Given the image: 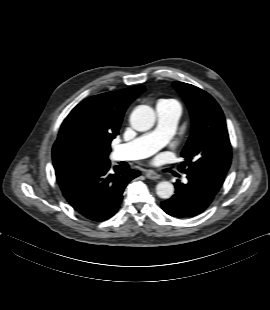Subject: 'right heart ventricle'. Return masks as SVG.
I'll use <instances>...</instances> for the list:
<instances>
[{"mask_svg":"<svg viewBox=\"0 0 270 310\" xmlns=\"http://www.w3.org/2000/svg\"><path fill=\"white\" fill-rule=\"evenodd\" d=\"M159 104L166 105V106H169V107H176V108H178L181 111L180 103L177 100L172 99V98L160 99L158 101L157 105H159Z\"/></svg>","mask_w":270,"mask_h":310,"instance_id":"e07e8e85","label":"right heart ventricle"}]
</instances>
